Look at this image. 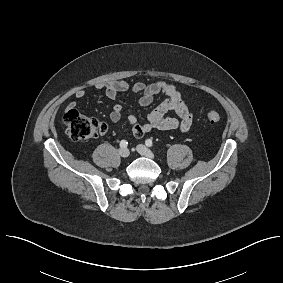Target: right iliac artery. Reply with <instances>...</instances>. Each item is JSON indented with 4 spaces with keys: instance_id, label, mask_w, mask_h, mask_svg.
Wrapping results in <instances>:
<instances>
[{
    "instance_id": "obj_1",
    "label": "right iliac artery",
    "mask_w": 283,
    "mask_h": 283,
    "mask_svg": "<svg viewBox=\"0 0 283 283\" xmlns=\"http://www.w3.org/2000/svg\"><path fill=\"white\" fill-rule=\"evenodd\" d=\"M127 145H128V142H127L126 140H122V141L120 142V147H121V148H126Z\"/></svg>"
}]
</instances>
